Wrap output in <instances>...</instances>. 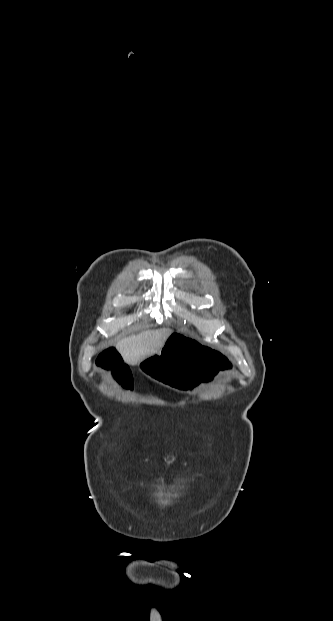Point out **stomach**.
Masks as SVG:
<instances>
[{
	"label": "stomach",
	"mask_w": 333,
	"mask_h": 621,
	"mask_svg": "<svg viewBox=\"0 0 333 621\" xmlns=\"http://www.w3.org/2000/svg\"><path fill=\"white\" fill-rule=\"evenodd\" d=\"M223 358L213 342L171 332L161 350L150 351L137 367L145 373L150 369L149 377L153 383L168 385L169 390L178 391L189 384L216 382ZM196 393L201 395L203 390L198 388Z\"/></svg>",
	"instance_id": "0dacf381"
}]
</instances>
